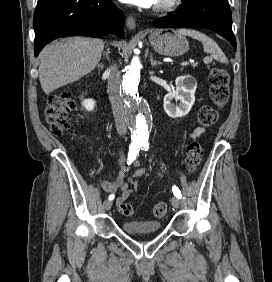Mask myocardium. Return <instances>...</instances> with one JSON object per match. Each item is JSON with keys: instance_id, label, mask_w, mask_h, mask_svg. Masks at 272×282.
Listing matches in <instances>:
<instances>
[{"instance_id": "f54148a6", "label": "myocardium", "mask_w": 272, "mask_h": 282, "mask_svg": "<svg viewBox=\"0 0 272 282\" xmlns=\"http://www.w3.org/2000/svg\"><path fill=\"white\" fill-rule=\"evenodd\" d=\"M180 4V0H167L155 5L154 11L159 14H168L175 11Z\"/></svg>"}]
</instances>
